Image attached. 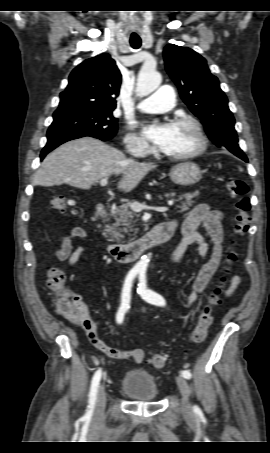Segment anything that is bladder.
Returning a JSON list of instances; mask_svg holds the SVG:
<instances>
[{"mask_svg":"<svg viewBox=\"0 0 270 453\" xmlns=\"http://www.w3.org/2000/svg\"><path fill=\"white\" fill-rule=\"evenodd\" d=\"M120 390L137 402H153L159 389L154 377L143 369H132L122 378Z\"/></svg>","mask_w":270,"mask_h":453,"instance_id":"obj_1","label":"bladder"}]
</instances>
